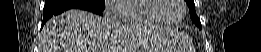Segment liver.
Segmentation results:
<instances>
[{
    "mask_svg": "<svg viewBox=\"0 0 261 52\" xmlns=\"http://www.w3.org/2000/svg\"><path fill=\"white\" fill-rule=\"evenodd\" d=\"M163 43L162 28L149 33L140 24L70 9L46 22L39 37V52H126L121 51L126 45L129 50H156Z\"/></svg>",
    "mask_w": 261,
    "mask_h": 52,
    "instance_id": "6515ba94",
    "label": "liver"
}]
</instances>
